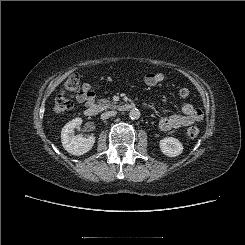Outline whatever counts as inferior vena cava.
<instances>
[{
  "label": "inferior vena cava",
  "instance_id": "602c4592",
  "mask_svg": "<svg viewBox=\"0 0 245 245\" xmlns=\"http://www.w3.org/2000/svg\"><path fill=\"white\" fill-rule=\"evenodd\" d=\"M116 111L112 110V111H107V112H104L101 114V119L104 120V119H108L109 117H112L114 115H116Z\"/></svg>",
  "mask_w": 245,
  "mask_h": 245
}]
</instances>
